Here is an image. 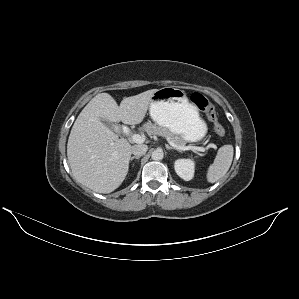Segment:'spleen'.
<instances>
[{"instance_id": "3e777b00", "label": "spleen", "mask_w": 299, "mask_h": 299, "mask_svg": "<svg viewBox=\"0 0 299 299\" xmlns=\"http://www.w3.org/2000/svg\"><path fill=\"white\" fill-rule=\"evenodd\" d=\"M233 160V146L223 145L219 148L216 158L208 168L207 181L215 183L221 179L229 170Z\"/></svg>"}]
</instances>
